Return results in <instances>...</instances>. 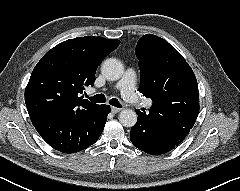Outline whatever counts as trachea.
Segmentation results:
<instances>
[{"mask_svg": "<svg viewBox=\"0 0 240 191\" xmlns=\"http://www.w3.org/2000/svg\"><path fill=\"white\" fill-rule=\"evenodd\" d=\"M89 99L94 102V103H104L106 101V98L103 94H97L93 97H89ZM109 103L112 105V106H115V107H118V108H121V104L119 103V101L116 99V98H112Z\"/></svg>", "mask_w": 240, "mask_h": 191, "instance_id": "trachea-1", "label": "trachea"}]
</instances>
